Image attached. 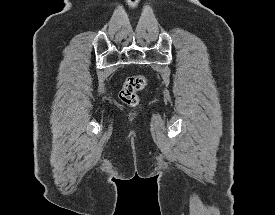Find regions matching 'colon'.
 Wrapping results in <instances>:
<instances>
[{
  "label": "colon",
  "instance_id": "obj_1",
  "mask_svg": "<svg viewBox=\"0 0 275 215\" xmlns=\"http://www.w3.org/2000/svg\"><path fill=\"white\" fill-rule=\"evenodd\" d=\"M147 85V79L143 75L129 76L123 83L119 97L123 103L128 106L137 105L138 92L143 90Z\"/></svg>",
  "mask_w": 275,
  "mask_h": 215
}]
</instances>
